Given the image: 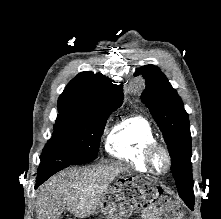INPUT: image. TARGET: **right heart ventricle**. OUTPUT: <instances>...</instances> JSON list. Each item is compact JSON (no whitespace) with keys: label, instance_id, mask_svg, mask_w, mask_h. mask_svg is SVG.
Segmentation results:
<instances>
[{"label":"right heart ventricle","instance_id":"obj_1","mask_svg":"<svg viewBox=\"0 0 221 219\" xmlns=\"http://www.w3.org/2000/svg\"><path fill=\"white\" fill-rule=\"evenodd\" d=\"M155 141L156 135L151 122L142 115H133L109 132L105 148L112 157L141 172H148L143 154L147 145Z\"/></svg>","mask_w":221,"mask_h":219}]
</instances>
